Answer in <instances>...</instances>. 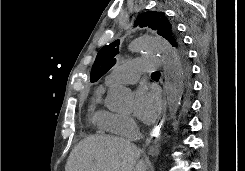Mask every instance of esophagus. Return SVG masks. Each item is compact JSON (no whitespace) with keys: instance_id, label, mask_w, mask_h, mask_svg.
<instances>
[{"instance_id":"34e87169","label":"esophagus","mask_w":245,"mask_h":171,"mask_svg":"<svg viewBox=\"0 0 245 171\" xmlns=\"http://www.w3.org/2000/svg\"><path fill=\"white\" fill-rule=\"evenodd\" d=\"M166 115H167V101L166 98H164L162 104V110L158 117V121L154 126L153 130L151 131L149 138L146 140V146L149 148L148 149L149 153H154L157 151L156 141L160 136L161 129L166 119Z\"/></svg>"}]
</instances>
